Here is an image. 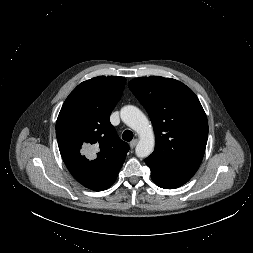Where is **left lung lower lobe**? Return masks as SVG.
<instances>
[{"label":"left lung lower lobe","mask_w":253,"mask_h":253,"mask_svg":"<svg viewBox=\"0 0 253 253\" xmlns=\"http://www.w3.org/2000/svg\"><path fill=\"white\" fill-rule=\"evenodd\" d=\"M145 163L151 170L152 180L161 188L175 189L182 186L192 178L187 175L169 171L148 159H145Z\"/></svg>","instance_id":"obj_1"}]
</instances>
